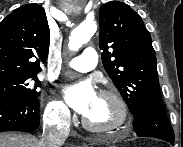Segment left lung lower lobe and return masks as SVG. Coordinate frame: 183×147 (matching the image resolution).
I'll use <instances>...</instances> for the list:
<instances>
[{"label": "left lung lower lobe", "instance_id": "0a47b994", "mask_svg": "<svg viewBox=\"0 0 183 147\" xmlns=\"http://www.w3.org/2000/svg\"><path fill=\"white\" fill-rule=\"evenodd\" d=\"M133 128L136 134L141 137H154L171 143L174 141V132L166 112H141L135 116Z\"/></svg>", "mask_w": 183, "mask_h": 147}]
</instances>
